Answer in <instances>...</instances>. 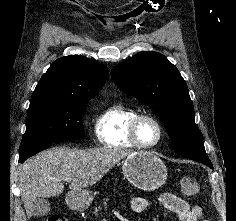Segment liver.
I'll list each match as a JSON object with an SVG mask.
<instances>
[{
  "mask_svg": "<svg viewBox=\"0 0 236 221\" xmlns=\"http://www.w3.org/2000/svg\"><path fill=\"white\" fill-rule=\"evenodd\" d=\"M130 150L115 147L86 150L56 147L45 150L19 166V188L26 215L33 214L36 198H50L64 191V178L69 181V192L81 191L94 185Z\"/></svg>",
  "mask_w": 236,
  "mask_h": 221,
  "instance_id": "6515ba94",
  "label": "liver"
}]
</instances>
